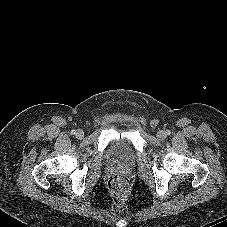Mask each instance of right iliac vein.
Here are the masks:
<instances>
[{
	"label": "right iliac vein",
	"mask_w": 227,
	"mask_h": 227,
	"mask_svg": "<svg viewBox=\"0 0 227 227\" xmlns=\"http://www.w3.org/2000/svg\"><path fill=\"white\" fill-rule=\"evenodd\" d=\"M76 137H77L78 139H82V138L84 137V131L81 130V129H78V130L76 131Z\"/></svg>",
	"instance_id": "63e3f726"
}]
</instances>
